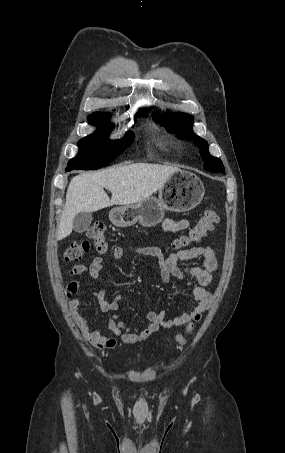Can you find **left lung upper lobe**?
I'll return each mask as SVG.
<instances>
[{
    "mask_svg": "<svg viewBox=\"0 0 285 453\" xmlns=\"http://www.w3.org/2000/svg\"><path fill=\"white\" fill-rule=\"evenodd\" d=\"M153 119L160 125L165 126L170 133H176L178 138L194 141V144L200 148V154L204 161V169L224 173L225 169L222 161L210 155L207 142L193 133L191 125L192 116L176 113L169 118L168 115L162 117L154 115Z\"/></svg>",
    "mask_w": 285,
    "mask_h": 453,
    "instance_id": "obj_1",
    "label": "left lung upper lobe"
}]
</instances>
